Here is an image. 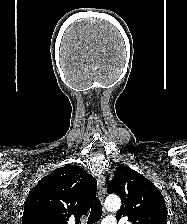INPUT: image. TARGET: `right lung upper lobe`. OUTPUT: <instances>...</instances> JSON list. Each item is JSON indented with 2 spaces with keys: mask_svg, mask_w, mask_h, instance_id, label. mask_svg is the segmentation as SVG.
<instances>
[{
  "mask_svg": "<svg viewBox=\"0 0 187 224\" xmlns=\"http://www.w3.org/2000/svg\"><path fill=\"white\" fill-rule=\"evenodd\" d=\"M97 181L83 168L67 164L51 172L31 189L22 224H68L69 217L86 214L96 194Z\"/></svg>",
  "mask_w": 187,
  "mask_h": 224,
  "instance_id": "cb5924a9",
  "label": "right lung upper lobe"
}]
</instances>
